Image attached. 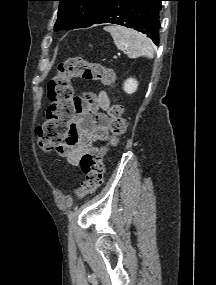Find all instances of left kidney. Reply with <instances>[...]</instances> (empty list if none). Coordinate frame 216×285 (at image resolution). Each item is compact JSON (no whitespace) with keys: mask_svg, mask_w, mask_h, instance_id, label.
<instances>
[{"mask_svg":"<svg viewBox=\"0 0 216 285\" xmlns=\"http://www.w3.org/2000/svg\"><path fill=\"white\" fill-rule=\"evenodd\" d=\"M138 82L134 78H129L124 82L123 89L126 93L132 94L137 90Z\"/></svg>","mask_w":216,"mask_h":285,"instance_id":"5707ae66","label":"left kidney"}]
</instances>
